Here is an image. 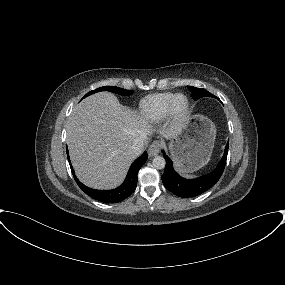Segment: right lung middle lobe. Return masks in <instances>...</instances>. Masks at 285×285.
<instances>
[{"label":"right lung middle lobe","mask_w":285,"mask_h":285,"mask_svg":"<svg viewBox=\"0 0 285 285\" xmlns=\"http://www.w3.org/2000/svg\"><path fill=\"white\" fill-rule=\"evenodd\" d=\"M99 91H111V92H114V93H117V94H120V95H129L132 93L131 90H125V89H122V88H119V87H113V86H104V87H100L96 90H93V91H90L89 93H87L83 98L91 95V94H94L96 92H99Z\"/></svg>","instance_id":"dd1d6c3e"}]
</instances>
